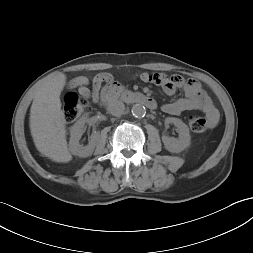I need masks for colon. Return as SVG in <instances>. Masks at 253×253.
<instances>
[{
  "instance_id": "obj_1",
  "label": "colon",
  "mask_w": 253,
  "mask_h": 253,
  "mask_svg": "<svg viewBox=\"0 0 253 253\" xmlns=\"http://www.w3.org/2000/svg\"><path fill=\"white\" fill-rule=\"evenodd\" d=\"M89 110V104L85 97L74 92L68 93L64 98L63 113L67 122H73L81 114ZM189 128L194 133H202L209 127V122L201 116H191L188 121Z\"/></svg>"
}]
</instances>
